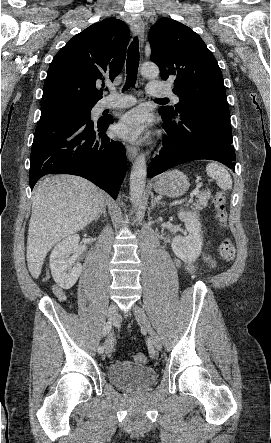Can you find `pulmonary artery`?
Here are the masks:
<instances>
[{
	"label": "pulmonary artery",
	"instance_id": "1",
	"mask_svg": "<svg viewBox=\"0 0 271 443\" xmlns=\"http://www.w3.org/2000/svg\"><path fill=\"white\" fill-rule=\"evenodd\" d=\"M147 90L151 95L154 96H170L175 103L179 102L178 96L174 95L170 90L169 91H152L150 89V85L147 86ZM136 103L135 97L131 95L120 94L114 90H111L110 93L104 98L100 99L95 107V112H101L106 109H117V108H125L132 106Z\"/></svg>",
	"mask_w": 271,
	"mask_h": 443
}]
</instances>
